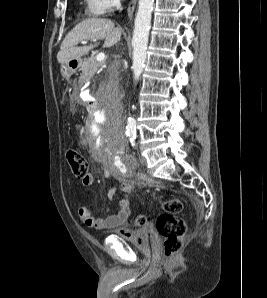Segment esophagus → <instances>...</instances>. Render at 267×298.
Wrapping results in <instances>:
<instances>
[{
	"mask_svg": "<svg viewBox=\"0 0 267 298\" xmlns=\"http://www.w3.org/2000/svg\"><path fill=\"white\" fill-rule=\"evenodd\" d=\"M136 4H137V0H131L130 4L128 6V9H127L128 20H131L133 17V13L135 11Z\"/></svg>",
	"mask_w": 267,
	"mask_h": 298,
	"instance_id": "1",
	"label": "esophagus"
}]
</instances>
